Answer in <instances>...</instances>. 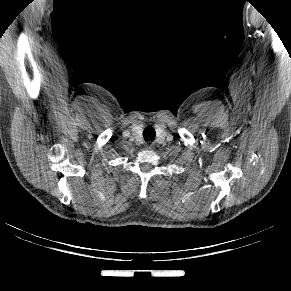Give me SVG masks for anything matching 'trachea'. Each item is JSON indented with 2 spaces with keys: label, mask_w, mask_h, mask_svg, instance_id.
<instances>
[{
  "label": "trachea",
  "mask_w": 291,
  "mask_h": 291,
  "mask_svg": "<svg viewBox=\"0 0 291 291\" xmlns=\"http://www.w3.org/2000/svg\"><path fill=\"white\" fill-rule=\"evenodd\" d=\"M143 137L145 141H153L156 137V132L152 127H146L143 131Z\"/></svg>",
  "instance_id": "3493384b"
}]
</instances>
